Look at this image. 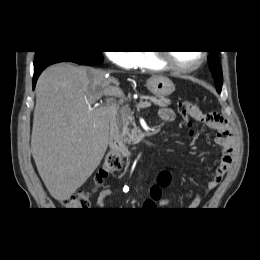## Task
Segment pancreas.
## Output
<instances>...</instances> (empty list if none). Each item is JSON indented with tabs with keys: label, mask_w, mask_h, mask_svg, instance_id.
<instances>
[{
	"label": "pancreas",
	"mask_w": 260,
	"mask_h": 260,
	"mask_svg": "<svg viewBox=\"0 0 260 260\" xmlns=\"http://www.w3.org/2000/svg\"><path fill=\"white\" fill-rule=\"evenodd\" d=\"M150 101L153 102L155 105H158L159 107H167L171 104V101L166 98L150 97ZM133 120V112L131 111L129 106H121L116 115V122L122 131L121 136L123 138V141L128 144H130L131 142L133 144H137L141 140V136L138 135L137 130L131 129L129 127L130 124L134 123Z\"/></svg>",
	"instance_id": "1"
}]
</instances>
